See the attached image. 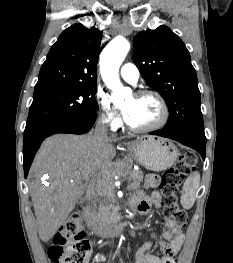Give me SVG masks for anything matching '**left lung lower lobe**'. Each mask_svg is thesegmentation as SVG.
I'll return each instance as SVG.
<instances>
[{"label":"left lung lower lobe","mask_w":233,"mask_h":263,"mask_svg":"<svg viewBox=\"0 0 233 263\" xmlns=\"http://www.w3.org/2000/svg\"><path fill=\"white\" fill-rule=\"evenodd\" d=\"M152 135H159L162 137L176 140L186 146H189L198 151L202 158L205 159L206 137L201 136L195 132L183 131L176 129H161L151 132Z\"/></svg>","instance_id":"obj_1"}]
</instances>
